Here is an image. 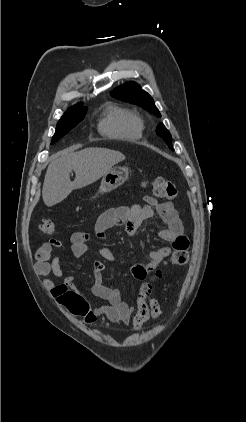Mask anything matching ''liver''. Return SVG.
Wrapping results in <instances>:
<instances>
[{"instance_id": "6515ba94", "label": "liver", "mask_w": 246, "mask_h": 422, "mask_svg": "<svg viewBox=\"0 0 246 422\" xmlns=\"http://www.w3.org/2000/svg\"><path fill=\"white\" fill-rule=\"evenodd\" d=\"M124 159L122 153L104 148H86L78 152L66 150L56 155L47 168L43 183L45 205L51 207L60 203L74 189L96 182ZM72 170L76 175L73 182L69 176Z\"/></svg>"}]
</instances>
